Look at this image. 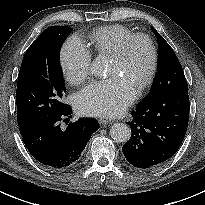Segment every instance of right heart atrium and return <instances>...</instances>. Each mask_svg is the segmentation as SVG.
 <instances>
[{
    "label": "right heart atrium",
    "instance_id": "1",
    "mask_svg": "<svg viewBox=\"0 0 205 205\" xmlns=\"http://www.w3.org/2000/svg\"><path fill=\"white\" fill-rule=\"evenodd\" d=\"M59 61L65 78L71 84H81L90 76L92 55L78 36H70L64 42Z\"/></svg>",
    "mask_w": 205,
    "mask_h": 205
}]
</instances>
